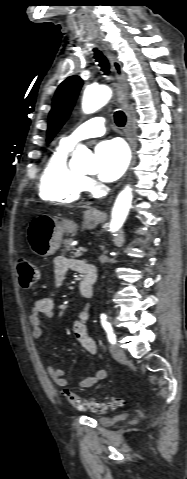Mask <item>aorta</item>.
<instances>
[{
	"label": "aorta",
	"mask_w": 187,
	"mask_h": 479,
	"mask_svg": "<svg viewBox=\"0 0 187 479\" xmlns=\"http://www.w3.org/2000/svg\"><path fill=\"white\" fill-rule=\"evenodd\" d=\"M111 89L107 86H88L85 89L82 110L86 114L93 113L103 107L111 98ZM73 159L77 162L80 170L86 173H97L101 166L84 145H78ZM132 189L128 185L117 196L112 209L110 231L117 232L124 224L132 203Z\"/></svg>",
	"instance_id": "obj_1"
}]
</instances>
